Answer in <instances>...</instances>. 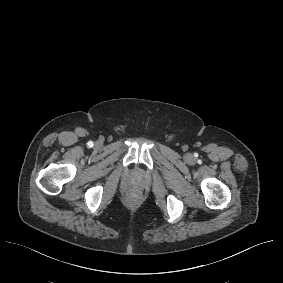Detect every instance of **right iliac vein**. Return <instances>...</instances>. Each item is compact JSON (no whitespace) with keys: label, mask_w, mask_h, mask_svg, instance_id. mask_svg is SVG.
<instances>
[{"label":"right iliac vein","mask_w":283,"mask_h":283,"mask_svg":"<svg viewBox=\"0 0 283 283\" xmlns=\"http://www.w3.org/2000/svg\"><path fill=\"white\" fill-rule=\"evenodd\" d=\"M100 146V141H97L96 143H95V147H99Z\"/></svg>","instance_id":"63e3f726"}]
</instances>
